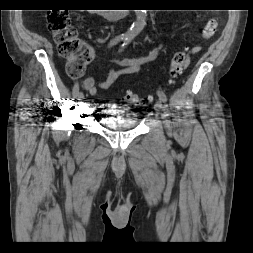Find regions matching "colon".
<instances>
[{
  "instance_id": "colon-1",
  "label": "colon",
  "mask_w": 253,
  "mask_h": 253,
  "mask_svg": "<svg viewBox=\"0 0 253 253\" xmlns=\"http://www.w3.org/2000/svg\"><path fill=\"white\" fill-rule=\"evenodd\" d=\"M216 27L217 22L215 19L208 20L201 30V37L209 39L215 33ZM48 28L54 35L60 55L67 60L68 74L74 78L80 77L84 73L86 66L95 57L93 49L76 35L67 12H51L48 17ZM196 52L198 51L195 46L185 47L174 53L168 70V82L170 84L187 68L190 54ZM124 99L132 105L145 104V99L132 91H127ZM148 101H152V98H149Z\"/></svg>"
}]
</instances>
